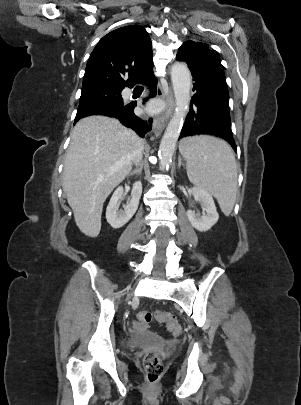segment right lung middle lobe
I'll return each mask as SVG.
<instances>
[{"label": "right lung middle lobe", "instance_id": "1", "mask_svg": "<svg viewBox=\"0 0 301 405\" xmlns=\"http://www.w3.org/2000/svg\"><path fill=\"white\" fill-rule=\"evenodd\" d=\"M121 91L108 87L83 89L77 113H83L102 106L122 105Z\"/></svg>", "mask_w": 301, "mask_h": 405}]
</instances>
